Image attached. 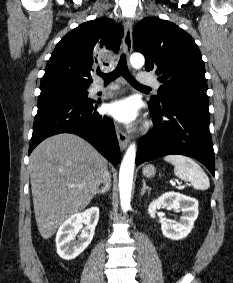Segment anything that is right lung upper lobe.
I'll return each instance as SVG.
<instances>
[{
    "label": "right lung upper lobe",
    "mask_w": 233,
    "mask_h": 283,
    "mask_svg": "<svg viewBox=\"0 0 233 283\" xmlns=\"http://www.w3.org/2000/svg\"><path fill=\"white\" fill-rule=\"evenodd\" d=\"M123 35L122 26L110 18L81 24L56 45L41 82L66 80L89 86L94 70H106L108 59L119 52Z\"/></svg>",
    "instance_id": "obj_1"
}]
</instances>
